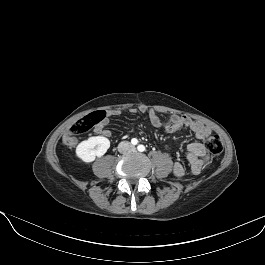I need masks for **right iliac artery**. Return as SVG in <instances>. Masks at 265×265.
Segmentation results:
<instances>
[{
	"mask_svg": "<svg viewBox=\"0 0 265 265\" xmlns=\"http://www.w3.org/2000/svg\"><path fill=\"white\" fill-rule=\"evenodd\" d=\"M131 143H132L133 145H136V144L138 143V140H137L136 138H133V139L131 140Z\"/></svg>",
	"mask_w": 265,
	"mask_h": 265,
	"instance_id": "right-iliac-artery-1",
	"label": "right iliac artery"
}]
</instances>
